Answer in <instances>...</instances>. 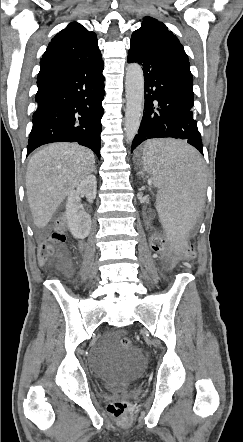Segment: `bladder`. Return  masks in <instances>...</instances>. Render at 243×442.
I'll return each instance as SVG.
<instances>
[{"mask_svg": "<svg viewBox=\"0 0 243 442\" xmlns=\"http://www.w3.org/2000/svg\"><path fill=\"white\" fill-rule=\"evenodd\" d=\"M142 369L143 361L137 354H119L117 369L107 380L106 389L113 391L126 389L139 378Z\"/></svg>", "mask_w": 243, "mask_h": 442, "instance_id": "1", "label": "bladder"}]
</instances>
